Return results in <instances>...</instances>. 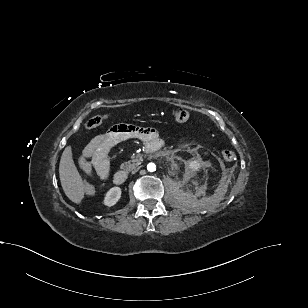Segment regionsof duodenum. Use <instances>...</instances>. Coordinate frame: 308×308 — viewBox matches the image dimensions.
I'll use <instances>...</instances> for the list:
<instances>
[{"label":"duodenum","mask_w":308,"mask_h":308,"mask_svg":"<svg viewBox=\"0 0 308 308\" xmlns=\"http://www.w3.org/2000/svg\"><path fill=\"white\" fill-rule=\"evenodd\" d=\"M159 146H160V143L154 140L144 146V151L146 153H152L158 150ZM127 177H128L127 172L123 170L117 171L113 175V182L116 185H122L127 180Z\"/></svg>","instance_id":"duodenum-1"}]
</instances>
